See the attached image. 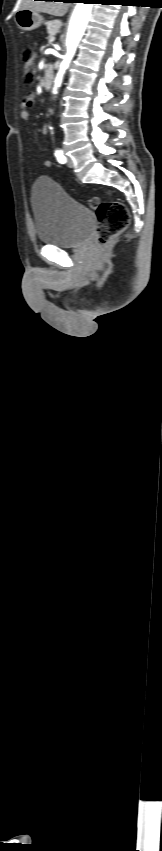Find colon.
Here are the masks:
<instances>
[{"instance_id":"1","label":"colon","mask_w":162,"mask_h":851,"mask_svg":"<svg viewBox=\"0 0 162 851\" xmlns=\"http://www.w3.org/2000/svg\"><path fill=\"white\" fill-rule=\"evenodd\" d=\"M22 62L25 83L31 85L34 81L36 63V54L33 49L23 50ZM89 205L96 211L98 218L95 244L98 248H102L113 237L125 230L130 220L129 211L126 205L118 200L100 201L98 198H91Z\"/></svg>"}]
</instances>
